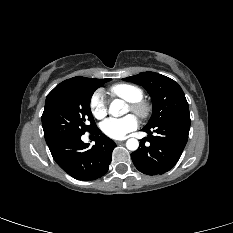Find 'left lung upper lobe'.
Returning <instances> with one entry per match:
<instances>
[{
	"label": "left lung upper lobe",
	"instance_id": "left-lung-upper-lobe-1",
	"mask_svg": "<svg viewBox=\"0 0 233 233\" xmlns=\"http://www.w3.org/2000/svg\"><path fill=\"white\" fill-rule=\"evenodd\" d=\"M123 80L143 86L152 98L153 113L144 128L150 129L170 118L189 114L185 94L171 78L155 72H143Z\"/></svg>",
	"mask_w": 233,
	"mask_h": 233
}]
</instances>
